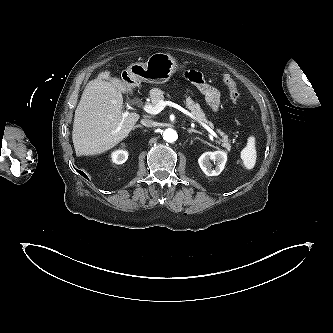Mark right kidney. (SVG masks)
I'll return each mask as SVG.
<instances>
[{"instance_id":"1","label":"right kidney","mask_w":333,"mask_h":333,"mask_svg":"<svg viewBox=\"0 0 333 333\" xmlns=\"http://www.w3.org/2000/svg\"><path fill=\"white\" fill-rule=\"evenodd\" d=\"M128 159V152L123 150H115L111 153V160L115 164H123Z\"/></svg>"}]
</instances>
